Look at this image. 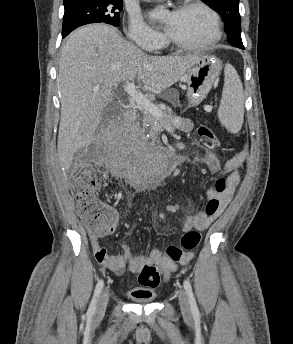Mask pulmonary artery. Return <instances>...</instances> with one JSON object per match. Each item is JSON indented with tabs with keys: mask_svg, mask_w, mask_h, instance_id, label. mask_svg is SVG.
I'll return each instance as SVG.
<instances>
[{
	"mask_svg": "<svg viewBox=\"0 0 293 344\" xmlns=\"http://www.w3.org/2000/svg\"><path fill=\"white\" fill-rule=\"evenodd\" d=\"M146 1H161V0H146Z\"/></svg>",
	"mask_w": 293,
	"mask_h": 344,
	"instance_id": "1",
	"label": "pulmonary artery"
}]
</instances>
